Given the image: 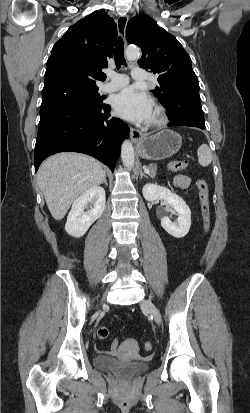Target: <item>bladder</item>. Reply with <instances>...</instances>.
<instances>
[{"label":"bladder","instance_id":"1","mask_svg":"<svg viewBox=\"0 0 250 413\" xmlns=\"http://www.w3.org/2000/svg\"><path fill=\"white\" fill-rule=\"evenodd\" d=\"M99 369L110 371L123 377H133L149 369V363L141 360H126L115 356L100 355L94 360Z\"/></svg>","mask_w":250,"mask_h":413}]
</instances>
